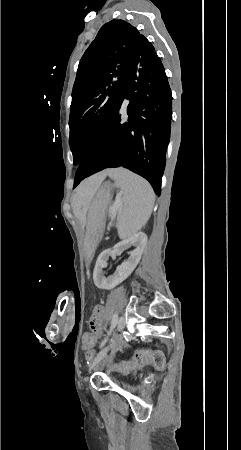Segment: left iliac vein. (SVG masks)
<instances>
[{
	"label": "left iliac vein",
	"instance_id": "obj_1",
	"mask_svg": "<svg viewBox=\"0 0 241 450\" xmlns=\"http://www.w3.org/2000/svg\"><path fill=\"white\" fill-rule=\"evenodd\" d=\"M124 327H125V319L123 317H121V318H119L118 323H117V331L121 332ZM119 341H120L119 336L113 337L111 340V343H110V347L111 348L114 347L115 344H117ZM107 350H108V348H105L97 355L93 364L90 365V370L95 368L98 365V363L105 357Z\"/></svg>",
	"mask_w": 241,
	"mask_h": 450
}]
</instances>
